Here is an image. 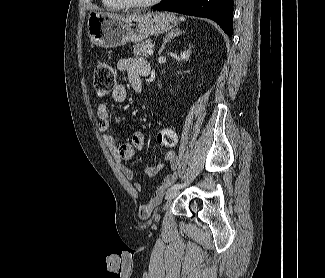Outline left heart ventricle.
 <instances>
[{"label":"left heart ventricle","mask_w":325,"mask_h":278,"mask_svg":"<svg viewBox=\"0 0 325 278\" xmlns=\"http://www.w3.org/2000/svg\"><path fill=\"white\" fill-rule=\"evenodd\" d=\"M133 1H146V0H133Z\"/></svg>","instance_id":"left-heart-ventricle-1"}]
</instances>
